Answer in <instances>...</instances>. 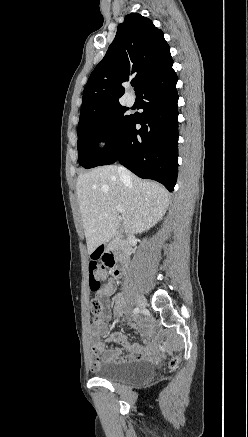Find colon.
I'll return each mask as SVG.
<instances>
[{
	"label": "colon",
	"mask_w": 248,
	"mask_h": 437,
	"mask_svg": "<svg viewBox=\"0 0 248 437\" xmlns=\"http://www.w3.org/2000/svg\"><path fill=\"white\" fill-rule=\"evenodd\" d=\"M113 260L109 256L94 257L89 263V284L90 289L94 292L100 289V286L105 283L112 273ZM91 311L94 315L99 316L102 311V304L98 299H92L90 303ZM178 364V359L173 358L170 366L175 368Z\"/></svg>",
	"instance_id": "5ec220e1"
}]
</instances>
